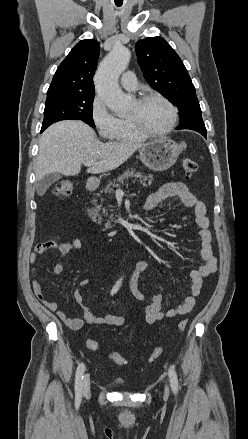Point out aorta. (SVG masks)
I'll return each instance as SVG.
<instances>
[{"label": "aorta", "mask_w": 248, "mask_h": 439, "mask_svg": "<svg viewBox=\"0 0 248 439\" xmlns=\"http://www.w3.org/2000/svg\"><path fill=\"white\" fill-rule=\"evenodd\" d=\"M130 57L127 47L114 46L95 74L97 95L117 114L126 112L131 106V97L124 94L118 85L119 76L127 68Z\"/></svg>", "instance_id": "762f6f07"}]
</instances>
